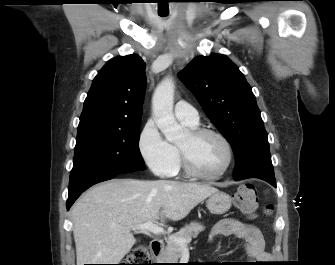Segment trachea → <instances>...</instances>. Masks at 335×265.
I'll return each instance as SVG.
<instances>
[{
  "mask_svg": "<svg viewBox=\"0 0 335 265\" xmlns=\"http://www.w3.org/2000/svg\"><path fill=\"white\" fill-rule=\"evenodd\" d=\"M160 16L164 17V16H166V15H160Z\"/></svg>",
  "mask_w": 335,
  "mask_h": 265,
  "instance_id": "3493384b",
  "label": "trachea"
}]
</instances>
